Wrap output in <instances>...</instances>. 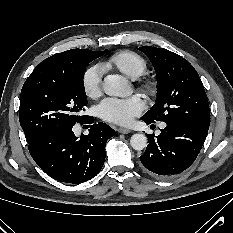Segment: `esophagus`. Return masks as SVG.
<instances>
[{"label": "esophagus", "instance_id": "34e87169", "mask_svg": "<svg viewBox=\"0 0 233 233\" xmlns=\"http://www.w3.org/2000/svg\"><path fill=\"white\" fill-rule=\"evenodd\" d=\"M118 132L121 134H128L131 132V130H129L127 128H118Z\"/></svg>", "mask_w": 233, "mask_h": 233}]
</instances>
